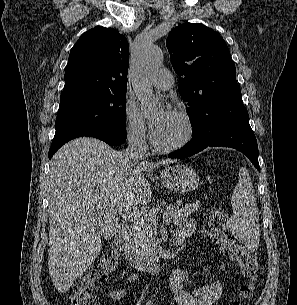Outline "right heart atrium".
Listing matches in <instances>:
<instances>
[{
    "instance_id": "1",
    "label": "right heart atrium",
    "mask_w": 297,
    "mask_h": 305,
    "mask_svg": "<svg viewBox=\"0 0 297 305\" xmlns=\"http://www.w3.org/2000/svg\"><path fill=\"white\" fill-rule=\"evenodd\" d=\"M123 125L126 137L133 146L143 147L146 144V124L138 109L129 100L124 105Z\"/></svg>"
}]
</instances>
